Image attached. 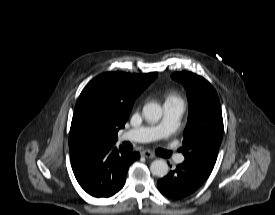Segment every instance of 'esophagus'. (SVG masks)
Listing matches in <instances>:
<instances>
[{
	"instance_id": "obj_1",
	"label": "esophagus",
	"mask_w": 275,
	"mask_h": 215,
	"mask_svg": "<svg viewBox=\"0 0 275 215\" xmlns=\"http://www.w3.org/2000/svg\"><path fill=\"white\" fill-rule=\"evenodd\" d=\"M141 155L143 157H146V158H154L155 157V155L151 151H149V150H143L141 152Z\"/></svg>"
}]
</instances>
